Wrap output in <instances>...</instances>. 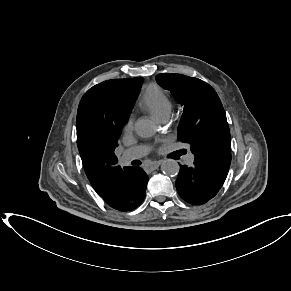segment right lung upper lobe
<instances>
[{
	"label": "right lung upper lobe",
	"mask_w": 291,
	"mask_h": 291,
	"mask_svg": "<svg viewBox=\"0 0 291 291\" xmlns=\"http://www.w3.org/2000/svg\"><path fill=\"white\" fill-rule=\"evenodd\" d=\"M141 78L112 79L89 89L82 97L77 112V145L85 173L105 202L117 198L122 191L123 170L117 165L114 143L107 137L101 112L105 100L115 96L129 104H134L137 94L134 84Z\"/></svg>",
	"instance_id": "right-lung-upper-lobe-1"
}]
</instances>
